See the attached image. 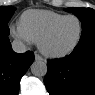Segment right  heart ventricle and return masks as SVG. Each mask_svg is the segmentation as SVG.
Masks as SVG:
<instances>
[{
    "mask_svg": "<svg viewBox=\"0 0 95 95\" xmlns=\"http://www.w3.org/2000/svg\"><path fill=\"white\" fill-rule=\"evenodd\" d=\"M63 16L50 10H28L21 16L20 26L32 42H38L44 32Z\"/></svg>",
    "mask_w": 95,
    "mask_h": 95,
    "instance_id": "e07e8e85",
    "label": "right heart ventricle"
}]
</instances>
